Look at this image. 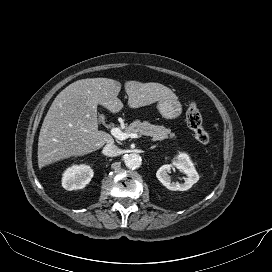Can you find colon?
I'll list each match as a JSON object with an SVG mask.
<instances>
[{
    "label": "colon",
    "mask_w": 272,
    "mask_h": 272,
    "mask_svg": "<svg viewBox=\"0 0 272 272\" xmlns=\"http://www.w3.org/2000/svg\"><path fill=\"white\" fill-rule=\"evenodd\" d=\"M186 122L196 140L202 144L210 141L209 133L203 128L202 116L195 102H191L186 111Z\"/></svg>",
    "instance_id": "colon-1"
}]
</instances>
